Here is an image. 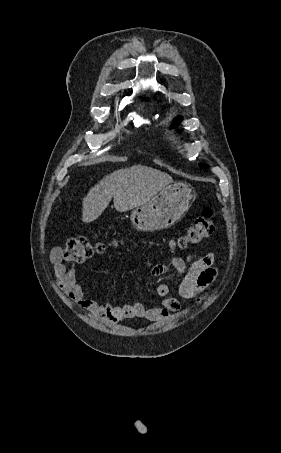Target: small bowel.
Instances as JSON below:
<instances>
[{"instance_id":"c3829d8e","label":"small bowel","mask_w":281,"mask_h":453,"mask_svg":"<svg viewBox=\"0 0 281 453\" xmlns=\"http://www.w3.org/2000/svg\"><path fill=\"white\" fill-rule=\"evenodd\" d=\"M57 281L67 295L88 312L107 322L118 323L135 317H142L151 322H157L171 312L180 309V303L170 296L171 286L162 283L157 287L160 299H151L149 303H128L120 305H106L89 296L77 281L74 271L65 264V256L60 248L53 249L50 258ZM171 265L181 275L176 289L181 297L195 300L200 292L208 289L217 274L214 263V253L208 252L193 260L191 255L175 256ZM170 268L166 265H153L151 272L159 277L167 274Z\"/></svg>"}]
</instances>
